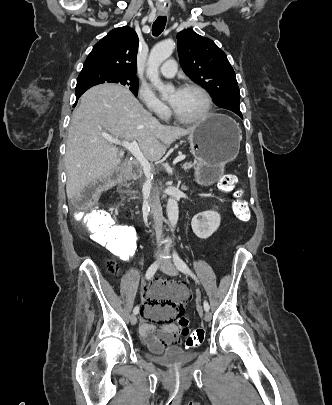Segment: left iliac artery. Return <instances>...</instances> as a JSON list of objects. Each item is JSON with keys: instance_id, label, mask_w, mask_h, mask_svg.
<instances>
[{"instance_id": "obj_1", "label": "left iliac artery", "mask_w": 332, "mask_h": 405, "mask_svg": "<svg viewBox=\"0 0 332 405\" xmlns=\"http://www.w3.org/2000/svg\"><path fill=\"white\" fill-rule=\"evenodd\" d=\"M173 260H174L176 267L182 273H185V274L191 276L198 282L196 276L191 272V270L189 269L187 264L180 258V256L178 255V253L176 251H174V253H173ZM203 307H204L205 311H209V309H210L209 303L206 300H204Z\"/></svg>"}]
</instances>
